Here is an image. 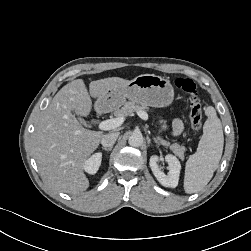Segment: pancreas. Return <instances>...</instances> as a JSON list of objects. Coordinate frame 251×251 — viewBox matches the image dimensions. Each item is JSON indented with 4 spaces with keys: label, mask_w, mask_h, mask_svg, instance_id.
Returning a JSON list of instances; mask_svg holds the SVG:
<instances>
[{
    "label": "pancreas",
    "mask_w": 251,
    "mask_h": 251,
    "mask_svg": "<svg viewBox=\"0 0 251 251\" xmlns=\"http://www.w3.org/2000/svg\"><path fill=\"white\" fill-rule=\"evenodd\" d=\"M149 108L147 106L143 105H136L134 102L128 101L123 104V106L120 109H117L114 111L115 116L119 117H127L133 112H139V111H148ZM164 122V121H161ZM165 123V122H164ZM167 126L164 124L162 126V129H166ZM160 143L166 147H169L170 150L177 155L181 160H184V153H185V147L181 146L178 143L170 144L168 141L158 137Z\"/></svg>",
    "instance_id": "cf45deb5"
}]
</instances>
